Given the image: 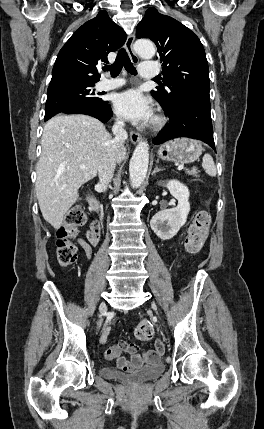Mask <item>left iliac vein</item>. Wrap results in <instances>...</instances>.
Listing matches in <instances>:
<instances>
[{
	"mask_svg": "<svg viewBox=\"0 0 264 429\" xmlns=\"http://www.w3.org/2000/svg\"><path fill=\"white\" fill-rule=\"evenodd\" d=\"M154 315H155L156 317H158L160 314H159L158 312H156ZM159 321L162 323L164 320L161 318Z\"/></svg>",
	"mask_w": 264,
	"mask_h": 429,
	"instance_id": "1",
	"label": "left iliac vein"
}]
</instances>
